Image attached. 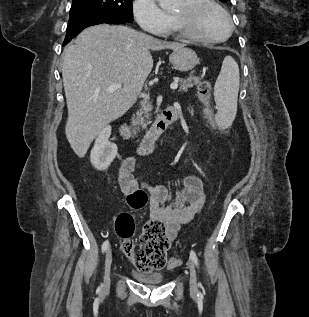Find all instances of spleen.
<instances>
[{"mask_svg":"<svg viewBox=\"0 0 309 317\" xmlns=\"http://www.w3.org/2000/svg\"><path fill=\"white\" fill-rule=\"evenodd\" d=\"M239 83L240 75L238 64L231 56H226L214 86V98L218 106L215 120L221 128L231 126L235 119Z\"/></svg>","mask_w":309,"mask_h":317,"instance_id":"3e777b00","label":"spleen"}]
</instances>
